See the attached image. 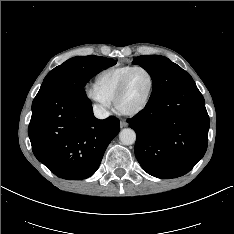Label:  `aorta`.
Instances as JSON below:
<instances>
[{
	"mask_svg": "<svg viewBox=\"0 0 234 234\" xmlns=\"http://www.w3.org/2000/svg\"><path fill=\"white\" fill-rule=\"evenodd\" d=\"M119 139L124 145H132L136 141V133L133 129L125 128L119 133Z\"/></svg>",
	"mask_w": 234,
	"mask_h": 234,
	"instance_id": "762f6f07",
	"label": "aorta"
}]
</instances>
